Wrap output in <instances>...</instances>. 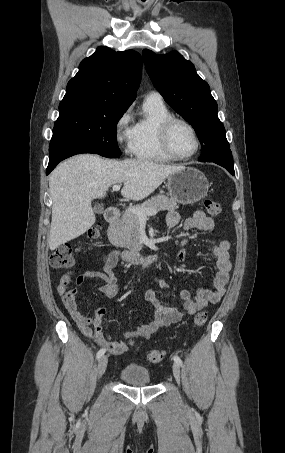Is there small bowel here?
I'll return each mask as SVG.
<instances>
[{
  "instance_id": "c3829d8e",
  "label": "small bowel",
  "mask_w": 285,
  "mask_h": 453,
  "mask_svg": "<svg viewBox=\"0 0 285 453\" xmlns=\"http://www.w3.org/2000/svg\"><path fill=\"white\" fill-rule=\"evenodd\" d=\"M180 222V217L176 212H169L166 215V224L168 228H175ZM215 227L214 220L207 216L202 211H197L193 216L187 218L183 223L185 230L197 229L203 232H212ZM187 240H182L180 251L176 256L178 262L184 261L188 252L185 250ZM230 244L228 241H220L212 245L211 251L216 258V273L213 279V289L199 288L193 298L191 292L182 290L180 293L181 299L184 301L183 308L172 306L160 299L156 292L148 289L145 292V300L153 308V319L146 323L138 325L134 330L123 332V336L127 339L149 338L153 333L161 328L170 326L181 321L186 315H193L209 304L217 303L225 293L226 285L229 281V273L232 264L229 256ZM119 254L113 251L105 255L102 259L103 269L101 271H88L75 280V285L69 288V283L72 278V273H66L59 278L57 284V292L60 295L62 302L68 313L76 323L81 333L95 341V343L111 354L120 355L128 350V344L121 340H112V338L103 332L102 321L107 315L108 309L102 307L97 309L91 317L83 315L76 302L78 287L87 280L100 279L104 282L100 286V290L106 297L112 299L119 293L117 279L113 275V268L118 263ZM163 290L167 289L166 281L159 276H151Z\"/></svg>"
}]
</instances>
